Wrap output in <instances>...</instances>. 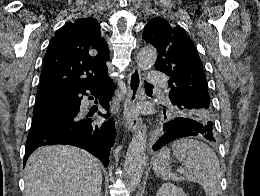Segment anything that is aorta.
<instances>
[{"mask_svg":"<svg viewBox=\"0 0 260 196\" xmlns=\"http://www.w3.org/2000/svg\"><path fill=\"white\" fill-rule=\"evenodd\" d=\"M156 59L157 50L153 46H146L137 54V66L140 70H149L155 64ZM146 144L147 130L142 127L134 133L125 157V177L131 189L138 186L147 166Z\"/></svg>","mask_w":260,"mask_h":196,"instance_id":"obj_1","label":"aorta"}]
</instances>
